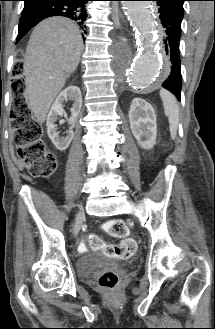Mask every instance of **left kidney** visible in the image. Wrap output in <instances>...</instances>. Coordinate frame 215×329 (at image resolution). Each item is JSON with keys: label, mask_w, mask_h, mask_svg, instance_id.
Wrapping results in <instances>:
<instances>
[{"label": "left kidney", "mask_w": 215, "mask_h": 329, "mask_svg": "<svg viewBox=\"0 0 215 329\" xmlns=\"http://www.w3.org/2000/svg\"><path fill=\"white\" fill-rule=\"evenodd\" d=\"M129 122L133 136L144 149L156 144L157 124L153 107L142 98H134L129 110Z\"/></svg>", "instance_id": "1"}]
</instances>
